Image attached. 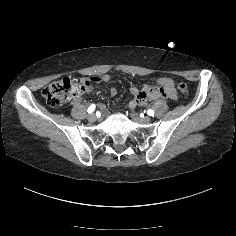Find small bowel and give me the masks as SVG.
<instances>
[{"label": "small bowel", "instance_id": "1", "mask_svg": "<svg viewBox=\"0 0 236 236\" xmlns=\"http://www.w3.org/2000/svg\"><path fill=\"white\" fill-rule=\"evenodd\" d=\"M95 80L107 82V81H109V76L108 75H103L100 78H95ZM161 81L163 83H171V80L168 79V78H162ZM90 89H91V87L88 88V90H90ZM133 91H136V90L133 89ZM110 94L111 95H115L116 94V90L114 88L110 89ZM80 101H81V98L78 97L77 99H75V104H78Z\"/></svg>", "mask_w": 236, "mask_h": 236}]
</instances>
